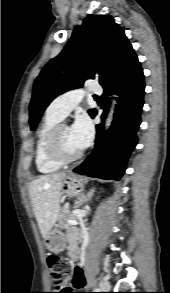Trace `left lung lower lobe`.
Returning a JSON list of instances; mask_svg holds the SVG:
<instances>
[{
	"mask_svg": "<svg viewBox=\"0 0 170 293\" xmlns=\"http://www.w3.org/2000/svg\"><path fill=\"white\" fill-rule=\"evenodd\" d=\"M104 88V118L108 112L110 95L117 92V106L112 126L103 131L101 124L96 126L95 149L84 163L73 171L78 174L102 179L118 180L122 177L126 162L137 144L136 131L141 123L143 107L144 75L140 62L130 47L115 64ZM95 113L91 116L94 117Z\"/></svg>",
	"mask_w": 170,
	"mask_h": 293,
	"instance_id": "0a47b994",
	"label": "left lung lower lobe"
}]
</instances>
